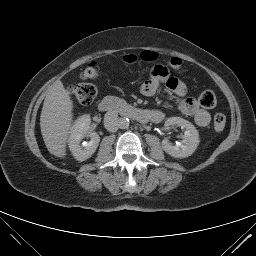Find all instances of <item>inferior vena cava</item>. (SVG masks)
Returning a JSON list of instances; mask_svg holds the SVG:
<instances>
[{
    "instance_id": "1",
    "label": "inferior vena cava",
    "mask_w": 256,
    "mask_h": 256,
    "mask_svg": "<svg viewBox=\"0 0 256 256\" xmlns=\"http://www.w3.org/2000/svg\"><path fill=\"white\" fill-rule=\"evenodd\" d=\"M120 118L115 112H107L104 116V126L109 132H116L119 128Z\"/></svg>"
}]
</instances>
